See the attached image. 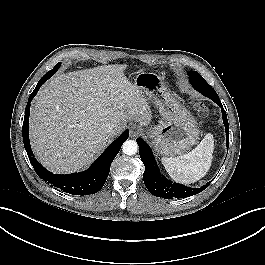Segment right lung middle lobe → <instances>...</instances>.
<instances>
[{
	"label": "right lung middle lobe",
	"instance_id": "1",
	"mask_svg": "<svg viewBox=\"0 0 265 265\" xmlns=\"http://www.w3.org/2000/svg\"><path fill=\"white\" fill-rule=\"evenodd\" d=\"M60 65H61V63H58L52 70H50L49 72H47V73H52V74H54L57 70H58V68L60 67Z\"/></svg>",
	"mask_w": 265,
	"mask_h": 265
}]
</instances>
